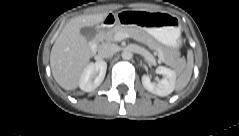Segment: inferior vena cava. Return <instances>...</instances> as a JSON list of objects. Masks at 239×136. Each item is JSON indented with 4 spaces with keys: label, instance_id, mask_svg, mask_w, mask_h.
<instances>
[{
    "label": "inferior vena cava",
    "instance_id": "1",
    "mask_svg": "<svg viewBox=\"0 0 239 136\" xmlns=\"http://www.w3.org/2000/svg\"><path fill=\"white\" fill-rule=\"evenodd\" d=\"M118 51V46L111 43H104L98 48L101 58H110Z\"/></svg>",
    "mask_w": 239,
    "mask_h": 136
}]
</instances>
